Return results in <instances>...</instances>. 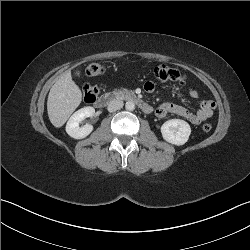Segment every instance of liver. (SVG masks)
I'll return each mask as SVG.
<instances>
[{
    "label": "liver",
    "instance_id": "1",
    "mask_svg": "<svg viewBox=\"0 0 250 250\" xmlns=\"http://www.w3.org/2000/svg\"><path fill=\"white\" fill-rule=\"evenodd\" d=\"M81 101L82 92L72 80L71 72H64L55 81L48 95L47 111L53 126L62 127Z\"/></svg>",
    "mask_w": 250,
    "mask_h": 250
}]
</instances>
